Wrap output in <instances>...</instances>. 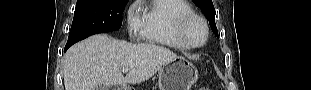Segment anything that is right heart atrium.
Returning a JSON list of instances; mask_svg holds the SVG:
<instances>
[{
    "mask_svg": "<svg viewBox=\"0 0 311 90\" xmlns=\"http://www.w3.org/2000/svg\"><path fill=\"white\" fill-rule=\"evenodd\" d=\"M127 30L131 37H136L141 33L142 16L137 10V1H135L127 10Z\"/></svg>",
    "mask_w": 311,
    "mask_h": 90,
    "instance_id": "1",
    "label": "right heart atrium"
}]
</instances>
